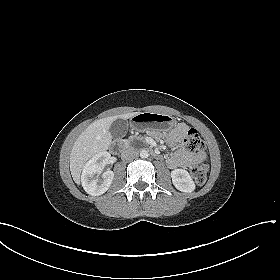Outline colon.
<instances>
[{"label":"colon","instance_id":"obj_1","mask_svg":"<svg viewBox=\"0 0 280 280\" xmlns=\"http://www.w3.org/2000/svg\"><path fill=\"white\" fill-rule=\"evenodd\" d=\"M185 144L188 150L192 152H199L205 149L204 141L198 131L193 128L187 130L185 135ZM208 171L209 165L206 162H203L191 169V175L196 183L203 184L207 179Z\"/></svg>","mask_w":280,"mask_h":280}]
</instances>
